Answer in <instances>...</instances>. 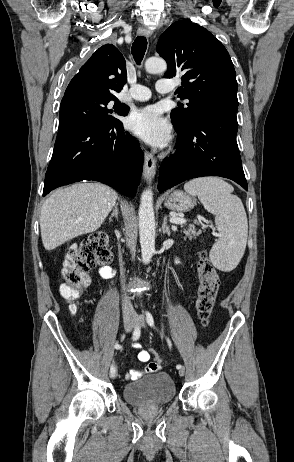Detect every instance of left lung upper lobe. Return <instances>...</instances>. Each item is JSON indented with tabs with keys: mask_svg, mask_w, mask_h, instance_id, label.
Segmentation results:
<instances>
[{
	"mask_svg": "<svg viewBox=\"0 0 294 462\" xmlns=\"http://www.w3.org/2000/svg\"><path fill=\"white\" fill-rule=\"evenodd\" d=\"M156 50L168 64L165 77L182 75L178 96L190 100L186 108L171 111L174 127L188 128L213 106H238L233 63L222 43L208 30L189 20L177 21L161 35Z\"/></svg>",
	"mask_w": 294,
	"mask_h": 462,
	"instance_id": "5c2ea615",
	"label": "left lung upper lobe"
}]
</instances>
